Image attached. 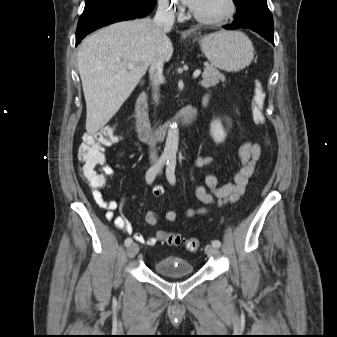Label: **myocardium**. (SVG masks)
<instances>
[{
  "mask_svg": "<svg viewBox=\"0 0 337 337\" xmlns=\"http://www.w3.org/2000/svg\"><path fill=\"white\" fill-rule=\"evenodd\" d=\"M226 10L219 16H204L191 10V14L195 20L208 25H221L229 21L237 12L236 0H226Z\"/></svg>",
  "mask_w": 337,
  "mask_h": 337,
  "instance_id": "obj_1",
  "label": "myocardium"
}]
</instances>
